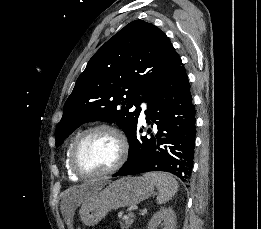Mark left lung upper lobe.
Segmentation results:
<instances>
[{"label": "left lung upper lobe", "instance_id": "1", "mask_svg": "<svg viewBox=\"0 0 261 229\" xmlns=\"http://www.w3.org/2000/svg\"><path fill=\"white\" fill-rule=\"evenodd\" d=\"M181 63L163 31L143 20L130 22L92 56L78 77L55 130L56 146L81 124L96 120L116 122L129 140L137 128L140 103Z\"/></svg>", "mask_w": 261, "mask_h": 229}]
</instances>
